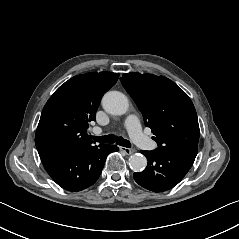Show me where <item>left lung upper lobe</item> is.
<instances>
[{
    "label": "left lung upper lobe",
    "mask_w": 239,
    "mask_h": 239,
    "mask_svg": "<svg viewBox=\"0 0 239 239\" xmlns=\"http://www.w3.org/2000/svg\"><path fill=\"white\" fill-rule=\"evenodd\" d=\"M120 81L141 111L159 149H198L200 135L196 110L174 82L153 74H123Z\"/></svg>",
    "instance_id": "1"
}]
</instances>
